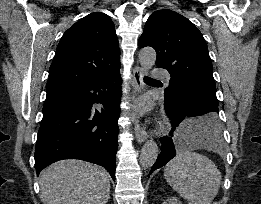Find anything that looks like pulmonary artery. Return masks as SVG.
<instances>
[{
	"label": "pulmonary artery",
	"mask_w": 261,
	"mask_h": 204,
	"mask_svg": "<svg viewBox=\"0 0 261 204\" xmlns=\"http://www.w3.org/2000/svg\"><path fill=\"white\" fill-rule=\"evenodd\" d=\"M154 78L163 79L166 82L170 81V75L163 69L155 68L152 72Z\"/></svg>",
	"instance_id": "obj_1"
}]
</instances>
